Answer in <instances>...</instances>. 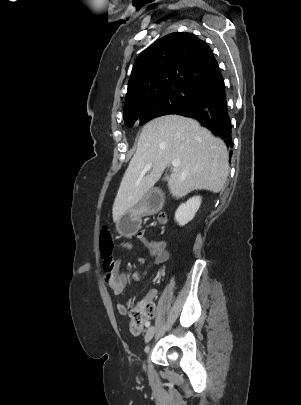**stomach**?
<instances>
[{
    "label": "stomach",
    "instance_id": "stomach-1",
    "mask_svg": "<svg viewBox=\"0 0 301 405\" xmlns=\"http://www.w3.org/2000/svg\"><path fill=\"white\" fill-rule=\"evenodd\" d=\"M139 213V208H132L124 213L116 223L119 233L123 235L135 233L141 224Z\"/></svg>",
    "mask_w": 301,
    "mask_h": 405
}]
</instances>
